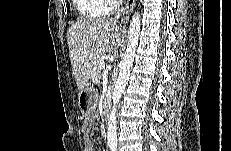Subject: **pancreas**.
<instances>
[{
  "instance_id": "1",
  "label": "pancreas",
  "mask_w": 231,
  "mask_h": 151,
  "mask_svg": "<svg viewBox=\"0 0 231 151\" xmlns=\"http://www.w3.org/2000/svg\"><path fill=\"white\" fill-rule=\"evenodd\" d=\"M102 61L99 60L97 62V64L95 65V68H94V72L92 74V81L95 83V84H99L100 81H101V70L99 69V65Z\"/></svg>"
}]
</instances>
